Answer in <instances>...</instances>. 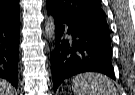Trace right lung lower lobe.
<instances>
[{"label": "right lung lower lobe", "instance_id": "98d812e1", "mask_svg": "<svg viewBox=\"0 0 135 95\" xmlns=\"http://www.w3.org/2000/svg\"><path fill=\"white\" fill-rule=\"evenodd\" d=\"M20 18L0 19V77L17 88Z\"/></svg>", "mask_w": 135, "mask_h": 95}]
</instances>
